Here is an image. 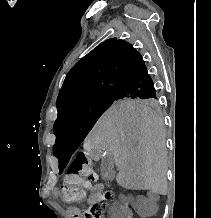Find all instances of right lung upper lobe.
I'll return each instance as SVG.
<instances>
[{"instance_id": "1", "label": "right lung upper lobe", "mask_w": 211, "mask_h": 218, "mask_svg": "<svg viewBox=\"0 0 211 218\" xmlns=\"http://www.w3.org/2000/svg\"><path fill=\"white\" fill-rule=\"evenodd\" d=\"M143 65L140 53L131 44L116 38L106 40L67 74L56 102L58 115L88 99L118 94Z\"/></svg>"}]
</instances>
